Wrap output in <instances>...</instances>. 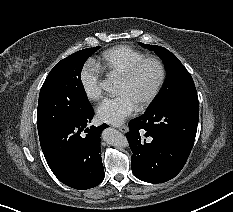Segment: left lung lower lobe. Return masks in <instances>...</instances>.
<instances>
[{
	"label": "left lung lower lobe",
	"instance_id": "left-lung-lower-lobe-1",
	"mask_svg": "<svg viewBox=\"0 0 233 212\" xmlns=\"http://www.w3.org/2000/svg\"><path fill=\"white\" fill-rule=\"evenodd\" d=\"M198 101L172 100L149 107L129 122L126 134L133 155V174L149 183L174 178L185 165L194 144Z\"/></svg>",
	"mask_w": 233,
	"mask_h": 212
}]
</instances>
